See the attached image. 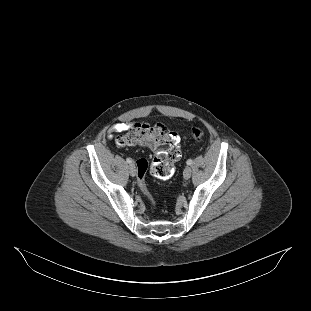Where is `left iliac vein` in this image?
<instances>
[{
  "label": "left iliac vein",
  "instance_id": "left-iliac-vein-1",
  "mask_svg": "<svg viewBox=\"0 0 311 311\" xmlns=\"http://www.w3.org/2000/svg\"><path fill=\"white\" fill-rule=\"evenodd\" d=\"M192 170L190 167H186L183 171V177L189 179L191 177Z\"/></svg>",
  "mask_w": 311,
  "mask_h": 311
}]
</instances>
